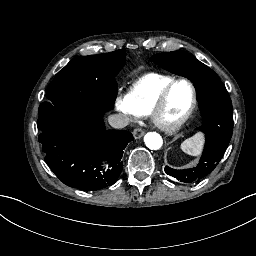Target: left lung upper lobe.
<instances>
[{"label":"left lung upper lobe","mask_w":256,"mask_h":256,"mask_svg":"<svg viewBox=\"0 0 256 256\" xmlns=\"http://www.w3.org/2000/svg\"><path fill=\"white\" fill-rule=\"evenodd\" d=\"M150 60L193 82L203 116V125L199 129L206 135L204 152L197 167L175 170L166 166L165 172L207 176L222 159L232 136L233 109L228 92L213 70L187 52L159 53Z\"/></svg>","instance_id":"1"}]
</instances>
